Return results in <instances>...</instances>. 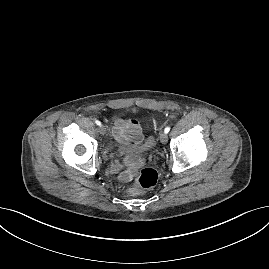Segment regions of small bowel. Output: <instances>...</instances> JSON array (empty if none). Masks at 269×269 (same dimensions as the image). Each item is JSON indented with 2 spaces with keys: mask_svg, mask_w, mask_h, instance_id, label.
<instances>
[{
  "mask_svg": "<svg viewBox=\"0 0 269 269\" xmlns=\"http://www.w3.org/2000/svg\"><path fill=\"white\" fill-rule=\"evenodd\" d=\"M112 135L119 142H127L137 145L142 140L141 127L136 118H118L112 127ZM128 169L121 173L120 178L124 181L131 179L135 172L136 166L142 163L140 159L129 158L127 160Z\"/></svg>",
  "mask_w": 269,
  "mask_h": 269,
  "instance_id": "1",
  "label": "small bowel"
}]
</instances>
